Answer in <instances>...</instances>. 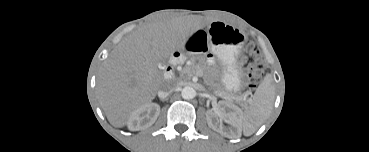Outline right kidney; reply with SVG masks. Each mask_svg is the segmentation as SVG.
<instances>
[{
    "label": "right kidney",
    "instance_id": "obj_1",
    "mask_svg": "<svg viewBox=\"0 0 369 152\" xmlns=\"http://www.w3.org/2000/svg\"><path fill=\"white\" fill-rule=\"evenodd\" d=\"M160 114L157 103H147L133 111L128 119L127 126L131 131L144 130L152 126Z\"/></svg>",
    "mask_w": 369,
    "mask_h": 152
}]
</instances>
